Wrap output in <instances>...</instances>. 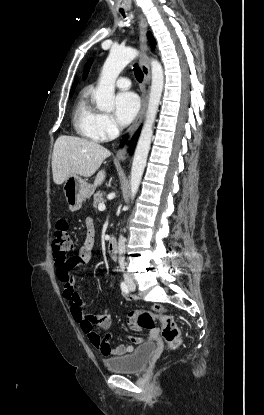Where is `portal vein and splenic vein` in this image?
<instances>
[{
    "label": "portal vein and splenic vein",
    "mask_w": 264,
    "mask_h": 415,
    "mask_svg": "<svg viewBox=\"0 0 264 415\" xmlns=\"http://www.w3.org/2000/svg\"><path fill=\"white\" fill-rule=\"evenodd\" d=\"M98 209H99V211H104V210L106 209L105 204H104V203H100V204L98 205Z\"/></svg>",
    "instance_id": "1"
}]
</instances>
